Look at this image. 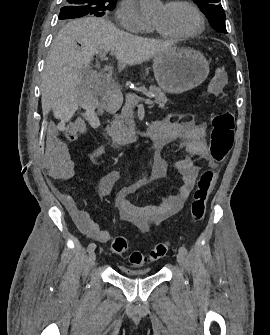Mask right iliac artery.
<instances>
[{"label": "right iliac artery", "instance_id": "right-iliac-artery-1", "mask_svg": "<svg viewBox=\"0 0 270 335\" xmlns=\"http://www.w3.org/2000/svg\"><path fill=\"white\" fill-rule=\"evenodd\" d=\"M95 248H96V244H95V243H90V244L88 245L87 250L90 252V251H92V250H95Z\"/></svg>", "mask_w": 270, "mask_h": 335}]
</instances>
